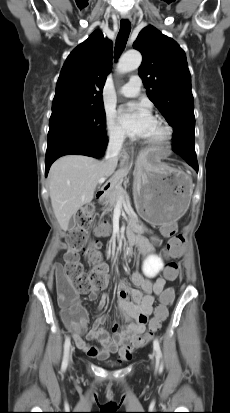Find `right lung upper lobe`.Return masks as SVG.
<instances>
[{"mask_svg":"<svg viewBox=\"0 0 230 413\" xmlns=\"http://www.w3.org/2000/svg\"><path fill=\"white\" fill-rule=\"evenodd\" d=\"M112 68V42L96 30L67 57L52 111L104 107L102 90Z\"/></svg>","mask_w":230,"mask_h":413,"instance_id":"1","label":"right lung upper lobe"}]
</instances>
